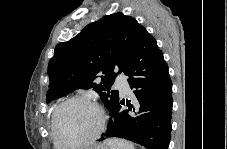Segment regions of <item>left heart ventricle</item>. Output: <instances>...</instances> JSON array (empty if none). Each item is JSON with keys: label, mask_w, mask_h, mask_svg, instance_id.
Wrapping results in <instances>:
<instances>
[{"label": "left heart ventricle", "mask_w": 227, "mask_h": 149, "mask_svg": "<svg viewBox=\"0 0 227 149\" xmlns=\"http://www.w3.org/2000/svg\"><path fill=\"white\" fill-rule=\"evenodd\" d=\"M99 114L86 103L75 102L65 106L58 117L59 136L65 143L86 139L97 128Z\"/></svg>", "instance_id": "left-heart-ventricle-1"}]
</instances>
